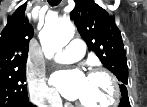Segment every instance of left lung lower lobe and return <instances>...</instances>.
Returning <instances> with one entry per match:
<instances>
[{"instance_id": "0a47b994", "label": "left lung lower lobe", "mask_w": 147, "mask_h": 107, "mask_svg": "<svg viewBox=\"0 0 147 107\" xmlns=\"http://www.w3.org/2000/svg\"><path fill=\"white\" fill-rule=\"evenodd\" d=\"M118 107H130L129 98L127 94L122 95L120 105Z\"/></svg>"}]
</instances>
